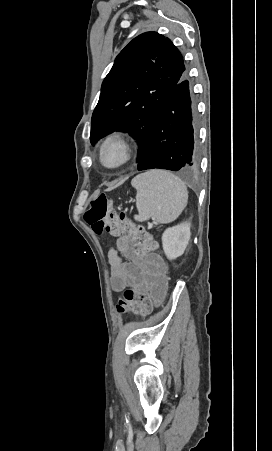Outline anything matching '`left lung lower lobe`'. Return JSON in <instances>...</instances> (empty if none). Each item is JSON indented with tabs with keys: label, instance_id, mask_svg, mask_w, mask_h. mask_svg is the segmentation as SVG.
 I'll list each match as a JSON object with an SVG mask.
<instances>
[{
	"label": "left lung lower lobe",
	"instance_id": "1",
	"mask_svg": "<svg viewBox=\"0 0 272 451\" xmlns=\"http://www.w3.org/2000/svg\"><path fill=\"white\" fill-rule=\"evenodd\" d=\"M191 84L185 72L166 99L138 170L190 171L198 164Z\"/></svg>",
	"mask_w": 272,
	"mask_h": 451
}]
</instances>
